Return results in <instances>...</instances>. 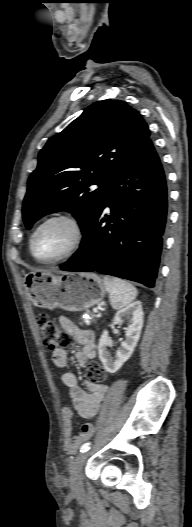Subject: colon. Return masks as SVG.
Masks as SVG:
<instances>
[{"mask_svg": "<svg viewBox=\"0 0 192 527\" xmlns=\"http://www.w3.org/2000/svg\"><path fill=\"white\" fill-rule=\"evenodd\" d=\"M37 325L44 345L50 350L63 348L69 344V335L48 315H38ZM86 376L89 382L96 385H102L106 380L103 367L96 361H92L87 365Z\"/></svg>", "mask_w": 192, "mask_h": 527, "instance_id": "obj_1", "label": "colon"}]
</instances>
